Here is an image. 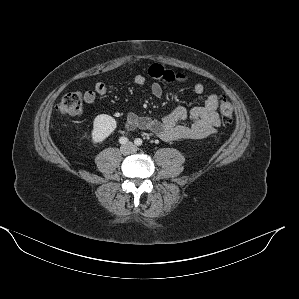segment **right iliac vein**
I'll use <instances>...</instances> for the list:
<instances>
[{
    "label": "right iliac vein",
    "mask_w": 299,
    "mask_h": 299,
    "mask_svg": "<svg viewBox=\"0 0 299 299\" xmlns=\"http://www.w3.org/2000/svg\"><path fill=\"white\" fill-rule=\"evenodd\" d=\"M127 150H128V147H127V146H123V147L121 148V152H122V153H126Z\"/></svg>",
    "instance_id": "obj_1"
}]
</instances>
